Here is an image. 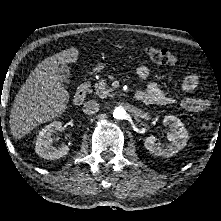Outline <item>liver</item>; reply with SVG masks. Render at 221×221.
<instances>
[{
  "instance_id": "obj_1",
  "label": "liver",
  "mask_w": 221,
  "mask_h": 221,
  "mask_svg": "<svg viewBox=\"0 0 221 221\" xmlns=\"http://www.w3.org/2000/svg\"><path fill=\"white\" fill-rule=\"evenodd\" d=\"M78 55L76 48H70L45 58L21 86L10 112V130L15 139L65 111L69 93L58 71L60 65L75 63Z\"/></svg>"
}]
</instances>
